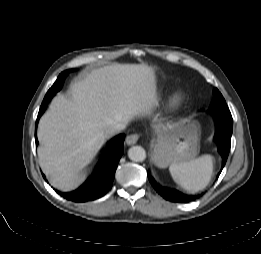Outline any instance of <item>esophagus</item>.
Wrapping results in <instances>:
<instances>
[{"mask_svg":"<svg viewBox=\"0 0 261 254\" xmlns=\"http://www.w3.org/2000/svg\"><path fill=\"white\" fill-rule=\"evenodd\" d=\"M140 138L139 134H130L126 137V144L127 145H133L135 144Z\"/></svg>","mask_w":261,"mask_h":254,"instance_id":"obj_1","label":"esophagus"}]
</instances>
